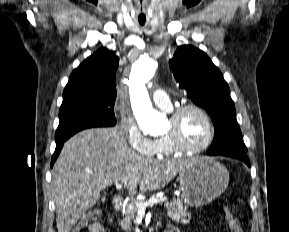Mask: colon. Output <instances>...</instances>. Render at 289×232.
<instances>
[{
	"instance_id": "1",
	"label": "colon",
	"mask_w": 289,
	"mask_h": 232,
	"mask_svg": "<svg viewBox=\"0 0 289 232\" xmlns=\"http://www.w3.org/2000/svg\"><path fill=\"white\" fill-rule=\"evenodd\" d=\"M225 217L232 230V232H244L239 220L237 219L234 212L229 208L225 207ZM86 224V219L80 220L71 230V232H81Z\"/></svg>"
}]
</instances>
